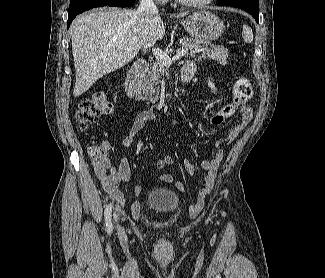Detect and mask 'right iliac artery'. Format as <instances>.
<instances>
[{"label":"right iliac artery","instance_id":"right-iliac-artery-1","mask_svg":"<svg viewBox=\"0 0 325 278\" xmlns=\"http://www.w3.org/2000/svg\"><path fill=\"white\" fill-rule=\"evenodd\" d=\"M111 212H112V204H109L105 209V224L108 233H110L113 228V224L111 220Z\"/></svg>","mask_w":325,"mask_h":278}]
</instances>
